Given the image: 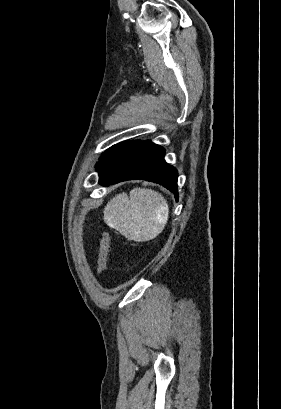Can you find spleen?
Returning a JSON list of instances; mask_svg holds the SVG:
<instances>
[{
    "label": "spleen",
    "mask_w": 281,
    "mask_h": 409,
    "mask_svg": "<svg viewBox=\"0 0 281 409\" xmlns=\"http://www.w3.org/2000/svg\"><path fill=\"white\" fill-rule=\"evenodd\" d=\"M169 219L167 200L152 188H133L116 194L104 209V221L130 241L145 243L158 237Z\"/></svg>",
    "instance_id": "spleen-1"
}]
</instances>
